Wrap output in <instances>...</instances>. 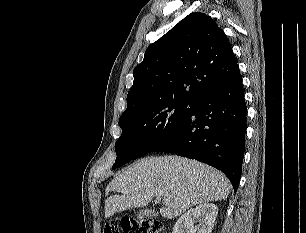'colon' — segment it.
Segmentation results:
<instances>
[{
  "instance_id": "obj_1",
  "label": "colon",
  "mask_w": 306,
  "mask_h": 233,
  "mask_svg": "<svg viewBox=\"0 0 306 233\" xmlns=\"http://www.w3.org/2000/svg\"><path fill=\"white\" fill-rule=\"evenodd\" d=\"M103 233H164V225L156 218H125L107 222Z\"/></svg>"
}]
</instances>
